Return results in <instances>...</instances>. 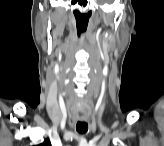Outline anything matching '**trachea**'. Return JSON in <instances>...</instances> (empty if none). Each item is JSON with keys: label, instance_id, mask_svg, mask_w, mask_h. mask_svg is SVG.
Returning a JSON list of instances; mask_svg holds the SVG:
<instances>
[{"label": "trachea", "instance_id": "3493384b", "mask_svg": "<svg viewBox=\"0 0 164 146\" xmlns=\"http://www.w3.org/2000/svg\"><path fill=\"white\" fill-rule=\"evenodd\" d=\"M76 129H77V131L79 132V133H81V134H84V133H86L87 132V130H88V125H87V123H85V122H78L77 123V125H76Z\"/></svg>", "mask_w": 164, "mask_h": 146}]
</instances>
